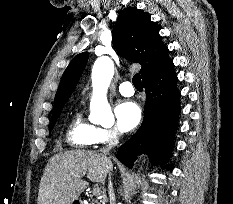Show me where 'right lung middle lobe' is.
<instances>
[{"label": "right lung middle lobe", "instance_id": "dd1d6c3e", "mask_svg": "<svg viewBox=\"0 0 233 204\" xmlns=\"http://www.w3.org/2000/svg\"><path fill=\"white\" fill-rule=\"evenodd\" d=\"M58 117H59V116H56V117H54V118L51 119V122H50V129L53 128V126L55 125V122H56V120H57Z\"/></svg>", "mask_w": 233, "mask_h": 204}]
</instances>
